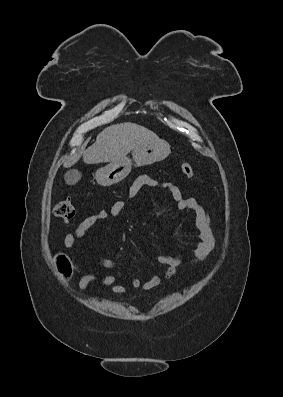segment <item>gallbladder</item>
<instances>
[{
	"instance_id": "1",
	"label": "gallbladder",
	"mask_w": 283,
	"mask_h": 397,
	"mask_svg": "<svg viewBox=\"0 0 283 397\" xmlns=\"http://www.w3.org/2000/svg\"><path fill=\"white\" fill-rule=\"evenodd\" d=\"M81 178V173L77 170H70L64 175V180L68 185L76 184Z\"/></svg>"
}]
</instances>
